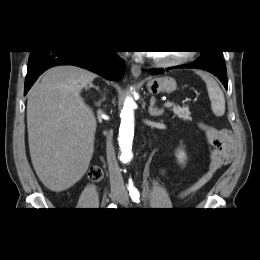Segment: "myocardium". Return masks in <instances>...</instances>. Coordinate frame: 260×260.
<instances>
[{
	"label": "myocardium",
	"instance_id": "myocardium-1",
	"mask_svg": "<svg viewBox=\"0 0 260 260\" xmlns=\"http://www.w3.org/2000/svg\"><path fill=\"white\" fill-rule=\"evenodd\" d=\"M191 57H192L191 52H186L177 57H174L171 59H166V60H162V59H159V58L151 55V61L154 65H156L158 67L170 68V67L178 66V65H181V64L187 62Z\"/></svg>",
	"mask_w": 260,
	"mask_h": 260
}]
</instances>
